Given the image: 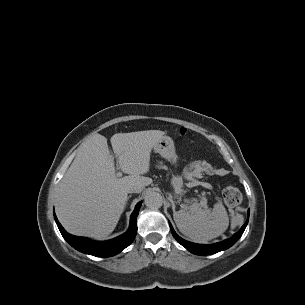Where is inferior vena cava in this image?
I'll list each match as a JSON object with an SVG mask.
<instances>
[{
    "mask_svg": "<svg viewBox=\"0 0 305 305\" xmlns=\"http://www.w3.org/2000/svg\"><path fill=\"white\" fill-rule=\"evenodd\" d=\"M143 190V186L136 185L128 189V193H140Z\"/></svg>",
    "mask_w": 305,
    "mask_h": 305,
    "instance_id": "1",
    "label": "inferior vena cava"
}]
</instances>
